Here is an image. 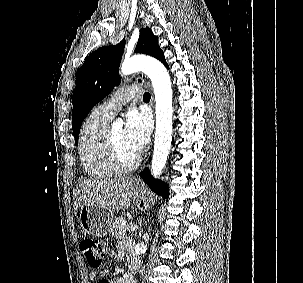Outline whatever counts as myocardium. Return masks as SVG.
<instances>
[{
	"label": "myocardium",
	"instance_id": "obj_1",
	"mask_svg": "<svg viewBox=\"0 0 303 283\" xmlns=\"http://www.w3.org/2000/svg\"><path fill=\"white\" fill-rule=\"evenodd\" d=\"M105 149L108 161L116 172L131 171L135 169L139 164L140 158L137 154L131 161H125L122 158L119 149L114 141L111 128H107L106 130Z\"/></svg>",
	"mask_w": 303,
	"mask_h": 283
}]
</instances>
